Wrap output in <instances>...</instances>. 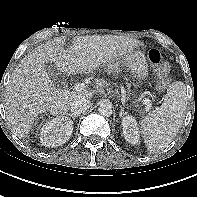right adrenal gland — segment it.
<instances>
[{
  "instance_id": "2a0ac1e0",
  "label": "right adrenal gland",
  "mask_w": 197,
  "mask_h": 197,
  "mask_svg": "<svg viewBox=\"0 0 197 197\" xmlns=\"http://www.w3.org/2000/svg\"><path fill=\"white\" fill-rule=\"evenodd\" d=\"M68 116L72 117L73 120L76 119V117H79L80 115H76V114H68Z\"/></svg>"
}]
</instances>
